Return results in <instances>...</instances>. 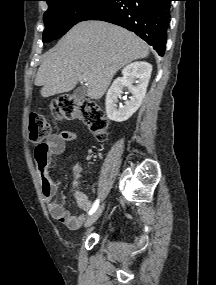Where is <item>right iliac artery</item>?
Wrapping results in <instances>:
<instances>
[{"instance_id":"obj_1","label":"right iliac artery","mask_w":216,"mask_h":285,"mask_svg":"<svg viewBox=\"0 0 216 285\" xmlns=\"http://www.w3.org/2000/svg\"><path fill=\"white\" fill-rule=\"evenodd\" d=\"M98 206H99V199H97V200L94 202L92 208H91L90 211H89V215L93 214V213L97 210Z\"/></svg>"}]
</instances>
